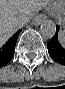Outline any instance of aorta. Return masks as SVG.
Segmentation results:
<instances>
[{"label": "aorta", "mask_w": 65, "mask_h": 89, "mask_svg": "<svg viewBox=\"0 0 65 89\" xmlns=\"http://www.w3.org/2000/svg\"><path fill=\"white\" fill-rule=\"evenodd\" d=\"M40 33L44 38L51 39L56 33V25L51 20H45L40 26Z\"/></svg>", "instance_id": "762f6f07"}]
</instances>
